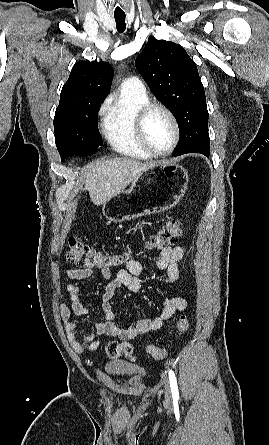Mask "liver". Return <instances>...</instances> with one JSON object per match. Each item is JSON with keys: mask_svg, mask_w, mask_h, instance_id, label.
Returning <instances> with one entry per match:
<instances>
[{"mask_svg": "<svg viewBox=\"0 0 269 445\" xmlns=\"http://www.w3.org/2000/svg\"><path fill=\"white\" fill-rule=\"evenodd\" d=\"M153 163H141L129 158H114L90 165V174L83 190H88L91 201L100 206L120 194L137 176Z\"/></svg>", "mask_w": 269, "mask_h": 445, "instance_id": "6515ba94", "label": "liver"}]
</instances>
